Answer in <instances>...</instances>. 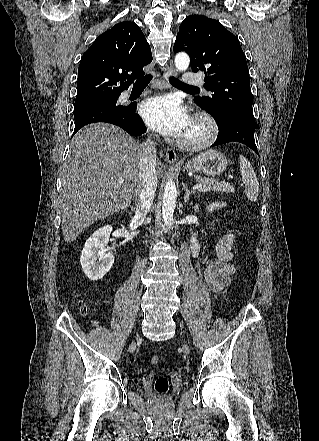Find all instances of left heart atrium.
<instances>
[{
  "label": "left heart atrium",
  "mask_w": 319,
  "mask_h": 441,
  "mask_svg": "<svg viewBox=\"0 0 319 441\" xmlns=\"http://www.w3.org/2000/svg\"><path fill=\"white\" fill-rule=\"evenodd\" d=\"M140 112L152 129L168 136L182 137L191 124L190 117L178 99L171 95L145 100Z\"/></svg>",
  "instance_id": "1"
}]
</instances>
